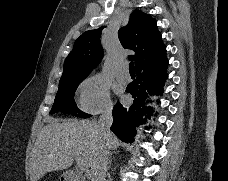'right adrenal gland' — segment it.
Instances as JSON below:
<instances>
[{
    "instance_id": "right-adrenal-gland-1",
    "label": "right adrenal gland",
    "mask_w": 228,
    "mask_h": 181,
    "mask_svg": "<svg viewBox=\"0 0 228 181\" xmlns=\"http://www.w3.org/2000/svg\"><path fill=\"white\" fill-rule=\"evenodd\" d=\"M110 167H111V161H109V163H108V167H107L108 171H109Z\"/></svg>"
}]
</instances>
